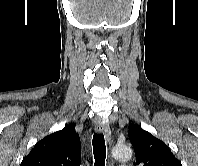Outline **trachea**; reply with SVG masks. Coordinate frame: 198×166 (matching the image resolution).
Wrapping results in <instances>:
<instances>
[{"instance_id":"trachea-1","label":"trachea","mask_w":198,"mask_h":166,"mask_svg":"<svg viewBox=\"0 0 198 166\" xmlns=\"http://www.w3.org/2000/svg\"><path fill=\"white\" fill-rule=\"evenodd\" d=\"M93 154L95 159V166H105L106 145L103 134L95 133L93 135Z\"/></svg>"}]
</instances>
